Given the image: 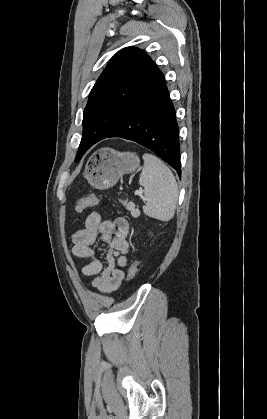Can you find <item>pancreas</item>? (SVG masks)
Masks as SVG:
<instances>
[{
	"label": "pancreas",
	"instance_id": "obj_1",
	"mask_svg": "<svg viewBox=\"0 0 267 419\" xmlns=\"http://www.w3.org/2000/svg\"><path fill=\"white\" fill-rule=\"evenodd\" d=\"M122 202V204L124 205V206H127L128 205V200H123V201H121Z\"/></svg>",
	"mask_w": 267,
	"mask_h": 419
}]
</instances>
